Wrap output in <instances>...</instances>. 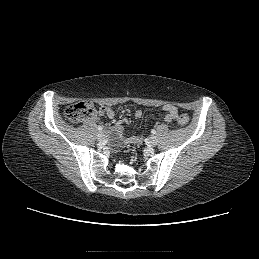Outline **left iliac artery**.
I'll list each match as a JSON object with an SVG mask.
<instances>
[{"label": "left iliac artery", "instance_id": "left-iliac-artery-1", "mask_svg": "<svg viewBox=\"0 0 259 259\" xmlns=\"http://www.w3.org/2000/svg\"><path fill=\"white\" fill-rule=\"evenodd\" d=\"M151 133H152V134H156V130L153 129V130L151 131Z\"/></svg>", "mask_w": 259, "mask_h": 259}]
</instances>
